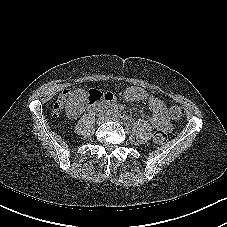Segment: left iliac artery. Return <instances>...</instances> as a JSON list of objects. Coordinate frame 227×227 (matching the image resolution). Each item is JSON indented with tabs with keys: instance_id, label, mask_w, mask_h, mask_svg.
Wrapping results in <instances>:
<instances>
[{
	"instance_id": "44dca946",
	"label": "left iliac artery",
	"mask_w": 227,
	"mask_h": 227,
	"mask_svg": "<svg viewBox=\"0 0 227 227\" xmlns=\"http://www.w3.org/2000/svg\"><path fill=\"white\" fill-rule=\"evenodd\" d=\"M120 118H122V120L124 121V122H127L128 123V126L130 125V123H129V121H128V118L127 117H120ZM127 125V124H126Z\"/></svg>"
}]
</instances>
